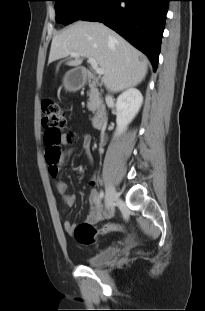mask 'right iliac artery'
Returning a JSON list of instances; mask_svg holds the SVG:
<instances>
[{
  "label": "right iliac artery",
  "instance_id": "82829eb1",
  "mask_svg": "<svg viewBox=\"0 0 205 311\" xmlns=\"http://www.w3.org/2000/svg\"><path fill=\"white\" fill-rule=\"evenodd\" d=\"M104 197V191L101 190L100 193H99V200L101 201Z\"/></svg>",
  "mask_w": 205,
  "mask_h": 311
}]
</instances>
